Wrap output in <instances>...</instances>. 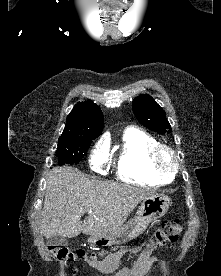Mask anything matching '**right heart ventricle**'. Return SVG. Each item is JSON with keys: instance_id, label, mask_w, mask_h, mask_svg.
I'll use <instances>...</instances> for the list:
<instances>
[{"instance_id": "e07e8e85", "label": "right heart ventricle", "mask_w": 221, "mask_h": 276, "mask_svg": "<svg viewBox=\"0 0 221 276\" xmlns=\"http://www.w3.org/2000/svg\"><path fill=\"white\" fill-rule=\"evenodd\" d=\"M157 144L158 141L145 131L126 129L115 159L118 179L137 185H161L171 181L172 176L160 175L149 165V151Z\"/></svg>"}]
</instances>
